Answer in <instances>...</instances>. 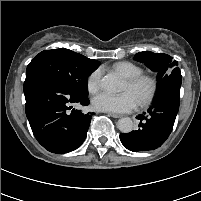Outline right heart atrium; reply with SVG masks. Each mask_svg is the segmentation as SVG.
<instances>
[{"mask_svg": "<svg viewBox=\"0 0 201 201\" xmlns=\"http://www.w3.org/2000/svg\"><path fill=\"white\" fill-rule=\"evenodd\" d=\"M101 71L94 70L87 78V90L91 94H95L100 87Z\"/></svg>", "mask_w": 201, "mask_h": 201, "instance_id": "right-heart-atrium-1", "label": "right heart atrium"}]
</instances>
